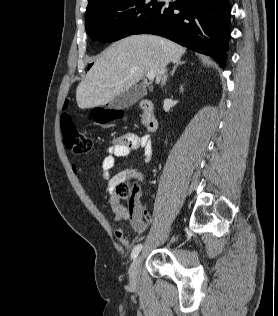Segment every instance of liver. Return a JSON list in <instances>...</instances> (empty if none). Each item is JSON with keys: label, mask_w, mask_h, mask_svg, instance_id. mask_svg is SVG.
I'll return each mask as SVG.
<instances>
[{"label": "liver", "mask_w": 278, "mask_h": 316, "mask_svg": "<svg viewBox=\"0 0 278 316\" xmlns=\"http://www.w3.org/2000/svg\"><path fill=\"white\" fill-rule=\"evenodd\" d=\"M186 49L155 35H134L109 48L94 62L77 86L76 101L81 109L102 106L155 71L159 83L170 62L178 61Z\"/></svg>", "instance_id": "liver-1"}]
</instances>
